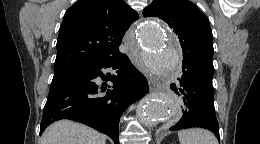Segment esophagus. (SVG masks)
I'll list each match as a JSON object with an SVG mask.
<instances>
[{
	"label": "esophagus",
	"instance_id": "obj_1",
	"mask_svg": "<svg viewBox=\"0 0 260 144\" xmlns=\"http://www.w3.org/2000/svg\"><path fill=\"white\" fill-rule=\"evenodd\" d=\"M149 86H150V90L153 91L156 89L157 86V82L155 80H153L152 78L149 79Z\"/></svg>",
	"mask_w": 260,
	"mask_h": 144
}]
</instances>
